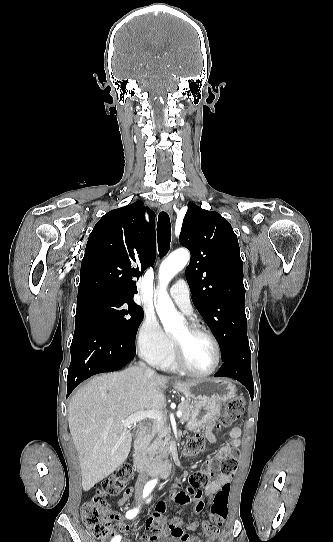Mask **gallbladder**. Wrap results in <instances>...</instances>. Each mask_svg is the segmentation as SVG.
I'll return each instance as SVG.
<instances>
[{
	"label": "gallbladder",
	"instance_id": "1",
	"mask_svg": "<svg viewBox=\"0 0 333 542\" xmlns=\"http://www.w3.org/2000/svg\"><path fill=\"white\" fill-rule=\"evenodd\" d=\"M134 436H136V428H135V430H134Z\"/></svg>",
	"mask_w": 333,
	"mask_h": 542
}]
</instances>
